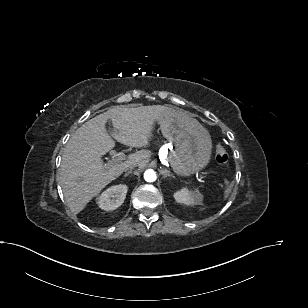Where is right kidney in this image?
Wrapping results in <instances>:
<instances>
[{
	"mask_svg": "<svg viewBox=\"0 0 308 308\" xmlns=\"http://www.w3.org/2000/svg\"><path fill=\"white\" fill-rule=\"evenodd\" d=\"M128 187L124 184L112 186L105 190L98 199L101 209L112 211L122 205L125 200Z\"/></svg>",
	"mask_w": 308,
	"mask_h": 308,
	"instance_id": "right-kidney-1",
	"label": "right kidney"
}]
</instances>
